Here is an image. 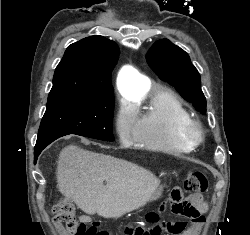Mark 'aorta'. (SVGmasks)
<instances>
[{"instance_id":"aorta-1","label":"aorta","mask_w":250,"mask_h":235,"mask_svg":"<svg viewBox=\"0 0 250 235\" xmlns=\"http://www.w3.org/2000/svg\"><path fill=\"white\" fill-rule=\"evenodd\" d=\"M126 74L130 75L133 79L132 81H126L121 85V93L131 100L141 99L149 88L148 83L145 78L138 75L133 69L129 68Z\"/></svg>"}]
</instances>
